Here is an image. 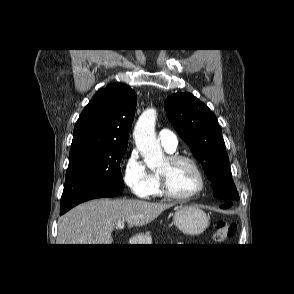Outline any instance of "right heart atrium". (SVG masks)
<instances>
[{
  "instance_id": "right-heart-atrium-1",
  "label": "right heart atrium",
  "mask_w": 294,
  "mask_h": 294,
  "mask_svg": "<svg viewBox=\"0 0 294 294\" xmlns=\"http://www.w3.org/2000/svg\"><path fill=\"white\" fill-rule=\"evenodd\" d=\"M125 185L138 198H148L155 181V175L148 170L137 149H132L122 162Z\"/></svg>"
}]
</instances>
